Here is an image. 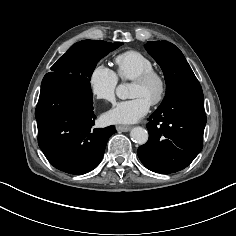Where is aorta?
<instances>
[{
	"mask_svg": "<svg viewBox=\"0 0 236 236\" xmlns=\"http://www.w3.org/2000/svg\"><path fill=\"white\" fill-rule=\"evenodd\" d=\"M129 87L128 83L119 84L116 88L117 97L122 100L130 98ZM130 137L134 142L143 145L148 141V132L142 127H134L130 132Z\"/></svg>",
	"mask_w": 236,
	"mask_h": 236,
	"instance_id": "762f6f07",
	"label": "aorta"
}]
</instances>
